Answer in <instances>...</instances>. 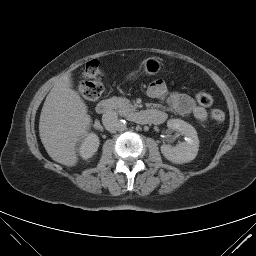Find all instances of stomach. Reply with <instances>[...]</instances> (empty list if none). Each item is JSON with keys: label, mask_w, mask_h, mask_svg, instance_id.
<instances>
[{"label": "stomach", "mask_w": 256, "mask_h": 256, "mask_svg": "<svg viewBox=\"0 0 256 256\" xmlns=\"http://www.w3.org/2000/svg\"><path fill=\"white\" fill-rule=\"evenodd\" d=\"M144 69L147 74L154 75L161 69L160 61L155 58H148L144 61Z\"/></svg>", "instance_id": "obj_1"}]
</instances>
